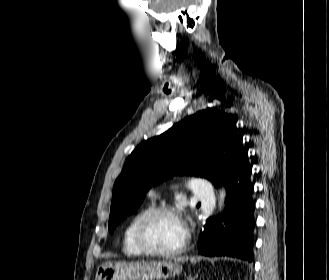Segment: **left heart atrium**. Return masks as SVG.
<instances>
[{
    "instance_id": "left-heart-atrium-1",
    "label": "left heart atrium",
    "mask_w": 329,
    "mask_h": 280,
    "mask_svg": "<svg viewBox=\"0 0 329 280\" xmlns=\"http://www.w3.org/2000/svg\"><path fill=\"white\" fill-rule=\"evenodd\" d=\"M181 225H182V228H183L184 232H186L187 229H186L185 223L181 221Z\"/></svg>"
}]
</instances>
